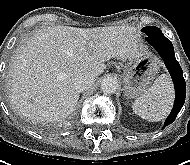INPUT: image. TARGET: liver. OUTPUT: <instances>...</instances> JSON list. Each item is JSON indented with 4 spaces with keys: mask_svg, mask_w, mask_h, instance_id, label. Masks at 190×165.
Returning <instances> with one entry per match:
<instances>
[{
    "mask_svg": "<svg viewBox=\"0 0 190 165\" xmlns=\"http://www.w3.org/2000/svg\"><path fill=\"white\" fill-rule=\"evenodd\" d=\"M136 29L129 26H51L23 42L9 71L10 101L18 114L59 122L75 110L79 74H102L111 58L138 59Z\"/></svg>",
    "mask_w": 190,
    "mask_h": 165,
    "instance_id": "liver-1",
    "label": "liver"
}]
</instances>
